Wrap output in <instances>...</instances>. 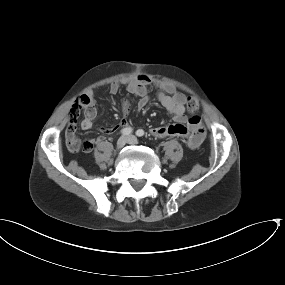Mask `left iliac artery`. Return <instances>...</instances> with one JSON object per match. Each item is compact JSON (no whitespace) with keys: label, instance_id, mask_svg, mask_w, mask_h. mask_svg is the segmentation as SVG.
<instances>
[{"label":"left iliac artery","instance_id":"1","mask_svg":"<svg viewBox=\"0 0 285 285\" xmlns=\"http://www.w3.org/2000/svg\"><path fill=\"white\" fill-rule=\"evenodd\" d=\"M136 135L138 137H142V136H144V131L142 129H139V130L136 131Z\"/></svg>","mask_w":285,"mask_h":285}]
</instances>
